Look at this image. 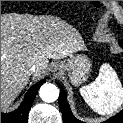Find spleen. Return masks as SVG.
<instances>
[{
    "mask_svg": "<svg viewBox=\"0 0 123 123\" xmlns=\"http://www.w3.org/2000/svg\"><path fill=\"white\" fill-rule=\"evenodd\" d=\"M85 102L97 113L112 114L123 104V88L116 72L108 64L101 66L95 81L80 89Z\"/></svg>",
    "mask_w": 123,
    "mask_h": 123,
    "instance_id": "spleen-1",
    "label": "spleen"
}]
</instances>
